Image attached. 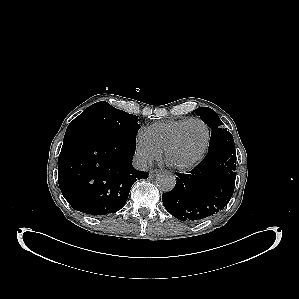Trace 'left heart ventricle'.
<instances>
[{
	"label": "left heart ventricle",
	"mask_w": 299,
	"mask_h": 299,
	"mask_svg": "<svg viewBox=\"0 0 299 299\" xmlns=\"http://www.w3.org/2000/svg\"><path fill=\"white\" fill-rule=\"evenodd\" d=\"M206 132L199 123L189 124L183 131L178 144L171 152V159L177 163H187L200 152Z\"/></svg>",
	"instance_id": "b2bd125f"
}]
</instances>
